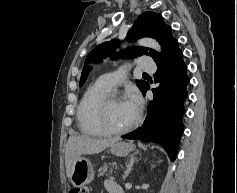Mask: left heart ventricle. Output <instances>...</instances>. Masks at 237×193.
Wrapping results in <instances>:
<instances>
[{"instance_id":"b2bd125f","label":"left heart ventricle","mask_w":237,"mask_h":193,"mask_svg":"<svg viewBox=\"0 0 237 193\" xmlns=\"http://www.w3.org/2000/svg\"><path fill=\"white\" fill-rule=\"evenodd\" d=\"M135 119L125 101H117L109 105L106 115L107 124L114 129H122Z\"/></svg>"}]
</instances>
